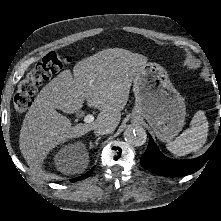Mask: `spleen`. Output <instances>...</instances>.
Segmentation results:
<instances>
[{
    "mask_svg": "<svg viewBox=\"0 0 221 221\" xmlns=\"http://www.w3.org/2000/svg\"><path fill=\"white\" fill-rule=\"evenodd\" d=\"M208 128L205 112L199 110L193 116L191 126L174 141L168 142L166 148L176 156L197 152L207 141Z\"/></svg>",
    "mask_w": 221,
    "mask_h": 221,
    "instance_id": "spleen-1",
    "label": "spleen"
}]
</instances>
